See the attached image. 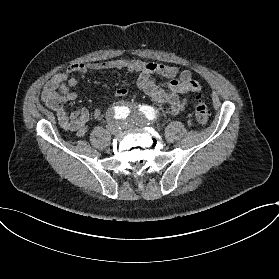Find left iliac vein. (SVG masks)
Returning <instances> with one entry per match:
<instances>
[{
    "mask_svg": "<svg viewBox=\"0 0 279 279\" xmlns=\"http://www.w3.org/2000/svg\"><path fill=\"white\" fill-rule=\"evenodd\" d=\"M128 120L130 122H133L139 128H142L144 126V123L141 120H139L138 118H135L134 115H130L128 117Z\"/></svg>",
    "mask_w": 279,
    "mask_h": 279,
    "instance_id": "left-iliac-vein-1",
    "label": "left iliac vein"
}]
</instances>
